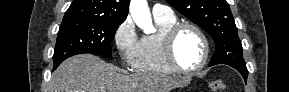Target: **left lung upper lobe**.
Masks as SVG:
<instances>
[{
  "label": "left lung upper lobe",
  "instance_id": "obj_1",
  "mask_svg": "<svg viewBox=\"0 0 289 92\" xmlns=\"http://www.w3.org/2000/svg\"><path fill=\"white\" fill-rule=\"evenodd\" d=\"M177 11L208 32L216 45L209 66L246 67L238 30L226 0H166Z\"/></svg>",
  "mask_w": 289,
  "mask_h": 92
}]
</instances>
